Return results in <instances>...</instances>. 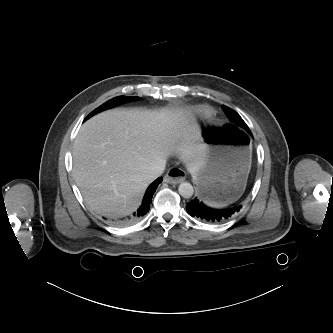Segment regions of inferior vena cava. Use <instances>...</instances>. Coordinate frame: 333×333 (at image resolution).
<instances>
[{
    "label": "inferior vena cava",
    "mask_w": 333,
    "mask_h": 333,
    "mask_svg": "<svg viewBox=\"0 0 333 333\" xmlns=\"http://www.w3.org/2000/svg\"><path fill=\"white\" fill-rule=\"evenodd\" d=\"M166 167L165 160H159L157 163L149 167L145 174V179L150 181L155 180L157 177L161 176Z\"/></svg>",
    "instance_id": "1"
}]
</instances>
